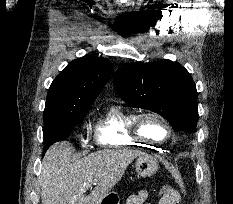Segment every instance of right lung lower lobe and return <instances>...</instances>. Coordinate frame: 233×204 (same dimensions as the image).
<instances>
[{
  "label": "right lung lower lobe",
  "mask_w": 233,
  "mask_h": 204,
  "mask_svg": "<svg viewBox=\"0 0 233 204\" xmlns=\"http://www.w3.org/2000/svg\"><path fill=\"white\" fill-rule=\"evenodd\" d=\"M47 149H44V153L46 152Z\"/></svg>",
  "instance_id": "right-lung-lower-lobe-1"
}]
</instances>
